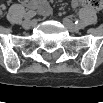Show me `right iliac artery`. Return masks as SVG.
Returning <instances> with one entry per match:
<instances>
[{
	"label": "right iliac artery",
	"instance_id": "82829eb1",
	"mask_svg": "<svg viewBox=\"0 0 103 103\" xmlns=\"http://www.w3.org/2000/svg\"><path fill=\"white\" fill-rule=\"evenodd\" d=\"M35 15H36V12L33 10H30L25 14V19L29 20V19L33 18Z\"/></svg>",
	"mask_w": 103,
	"mask_h": 103
}]
</instances>
